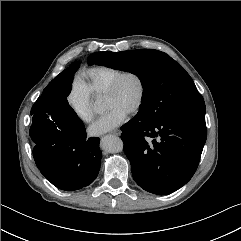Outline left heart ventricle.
I'll return each mask as SVG.
<instances>
[{
    "label": "left heart ventricle",
    "mask_w": 241,
    "mask_h": 241,
    "mask_svg": "<svg viewBox=\"0 0 241 241\" xmlns=\"http://www.w3.org/2000/svg\"><path fill=\"white\" fill-rule=\"evenodd\" d=\"M139 95V84L135 77L127 76L119 84L116 92L104 96L105 110L117 107L128 113L135 105Z\"/></svg>",
    "instance_id": "b2bd125f"
}]
</instances>
